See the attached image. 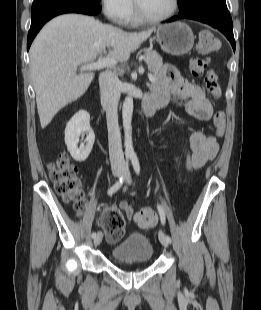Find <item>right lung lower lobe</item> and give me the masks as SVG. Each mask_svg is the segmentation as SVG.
Masks as SVG:
<instances>
[{"label":"right lung lower lobe","mask_w":261,"mask_h":310,"mask_svg":"<svg viewBox=\"0 0 261 310\" xmlns=\"http://www.w3.org/2000/svg\"><path fill=\"white\" fill-rule=\"evenodd\" d=\"M100 11L101 7L99 4L79 0H51L32 7L31 27L27 38V49L29 50L33 39L42 26L51 18L64 13L97 15Z\"/></svg>","instance_id":"1"}]
</instances>
